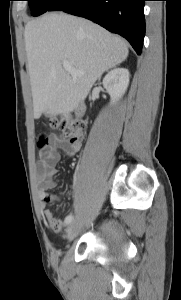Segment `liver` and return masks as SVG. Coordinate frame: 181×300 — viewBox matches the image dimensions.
<instances>
[{
  "instance_id": "6515ba94",
  "label": "liver",
  "mask_w": 181,
  "mask_h": 300,
  "mask_svg": "<svg viewBox=\"0 0 181 300\" xmlns=\"http://www.w3.org/2000/svg\"><path fill=\"white\" fill-rule=\"evenodd\" d=\"M34 118L72 112L101 75L128 57V45L99 25L64 13L28 22L24 32ZM67 61L81 75L63 67Z\"/></svg>"
}]
</instances>
